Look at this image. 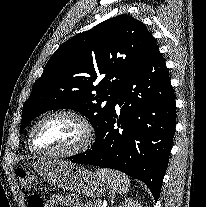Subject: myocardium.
Here are the masks:
<instances>
[{"instance_id": "obj_1", "label": "myocardium", "mask_w": 206, "mask_h": 207, "mask_svg": "<svg viewBox=\"0 0 206 207\" xmlns=\"http://www.w3.org/2000/svg\"><path fill=\"white\" fill-rule=\"evenodd\" d=\"M55 117H70V118L77 120L82 125L85 131V137L83 141L79 145L73 148L64 149V150H48V149H42V148L37 147L34 142V134H35L36 129L44 121L51 119V118H55ZM94 137H95L94 128L91 122L85 116L75 111L61 110V111H55V112L45 115L44 117L39 119L34 124V126L32 127L29 133V145H30V148L34 152L39 153V154L50 155V156H73V155L81 154L85 152L86 150H88L93 144Z\"/></svg>"}]
</instances>
